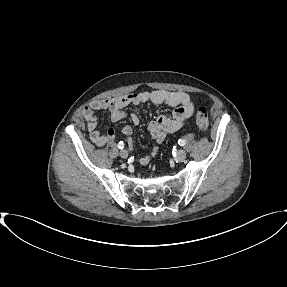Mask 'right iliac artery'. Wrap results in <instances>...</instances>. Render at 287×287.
Wrapping results in <instances>:
<instances>
[{"label": "right iliac artery", "instance_id": "obj_1", "mask_svg": "<svg viewBox=\"0 0 287 287\" xmlns=\"http://www.w3.org/2000/svg\"><path fill=\"white\" fill-rule=\"evenodd\" d=\"M118 148H119V149H123V148H124V143H123V141H120V142L118 143Z\"/></svg>", "mask_w": 287, "mask_h": 287}]
</instances>
